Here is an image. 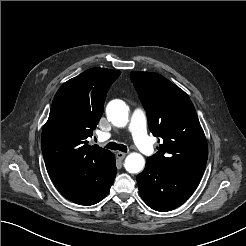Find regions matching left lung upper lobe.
Wrapping results in <instances>:
<instances>
[{
  "label": "left lung upper lobe",
  "instance_id": "obj_1",
  "mask_svg": "<svg viewBox=\"0 0 246 246\" xmlns=\"http://www.w3.org/2000/svg\"><path fill=\"white\" fill-rule=\"evenodd\" d=\"M130 75L147 112L150 131L162 138L158 152L146 164L202 177L208 147L189 96L160 74L132 71Z\"/></svg>",
  "mask_w": 246,
  "mask_h": 246
}]
</instances>
